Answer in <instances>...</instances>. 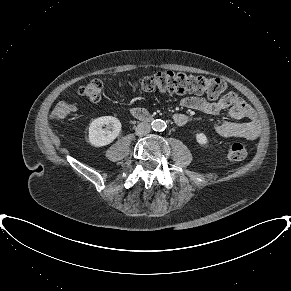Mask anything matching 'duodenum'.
<instances>
[{
  "label": "duodenum",
  "instance_id": "1",
  "mask_svg": "<svg viewBox=\"0 0 291 291\" xmlns=\"http://www.w3.org/2000/svg\"><path fill=\"white\" fill-rule=\"evenodd\" d=\"M131 113L135 118L142 121H150L152 119L149 112L143 108H134Z\"/></svg>",
  "mask_w": 291,
  "mask_h": 291
}]
</instances>
